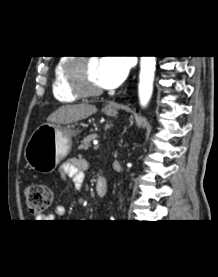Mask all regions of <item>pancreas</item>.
<instances>
[{
	"label": "pancreas",
	"mask_w": 218,
	"mask_h": 277,
	"mask_svg": "<svg viewBox=\"0 0 218 277\" xmlns=\"http://www.w3.org/2000/svg\"><path fill=\"white\" fill-rule=\"evenodd\" d=\"M97 137V134H91L88 135L86 138H84L81 142V145L79 146V149L87 150L91 146V141H93Z\"/></svg>",
	"instance_id": "obj_1"
}]
</instances>
